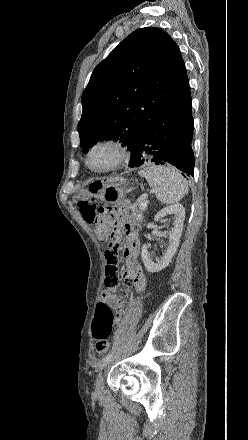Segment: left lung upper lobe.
<instances>
[{
	"label": "left lung upper lobe",
	"mask_w": 248,
	"mask_h": 440,
	"mask_svg": "<svg viewBox=\"0 0 248 440\" xmlns=\"http://www.w3.org/2000/svg\"><path fill=\"white\" fill-rule=\"evenodd\" d=\"M188 86L175 41L161 28L134 31L96 66L83 92L77 129L84 152L109 139L131 151L146 126Z\"/></svg>",
	"instance_id": "obj_1"
}]
</instances>
